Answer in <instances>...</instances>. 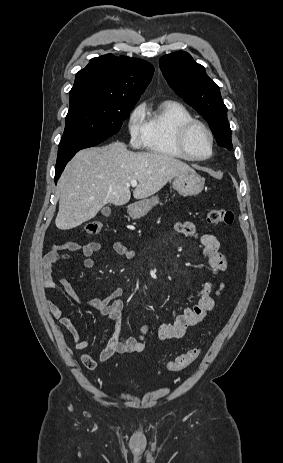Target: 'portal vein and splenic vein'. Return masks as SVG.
<instances>
[{
	"mask_svg": "<svg viewBox=\"0 0 283 463\" xmlns=\"http://www.w3.org/2000/svg\"><path fill=\"white\" fill-rule=\"evenodd\" d=\"M130 185H131L132 187H136V186L138 185V183H137L136 180H131Z\"/></svg>",
	"mask_w": 283,
	"mask_h": 463,
	"instance_id": "portal-vein-and-splenic-vein-1",
	"label": "portal vein and splenic vein"
}]
</instances>
